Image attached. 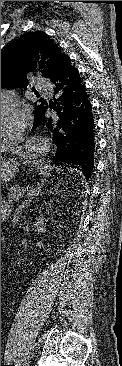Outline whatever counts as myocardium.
I'll return each instance as SVG.
<instances>
[{"instance_id": "1", "label": "myocardium", "mask_w": 122, "mask_h": 366, "mask_svg": "<svg viewBox=\"0 0 122 366\" xmlns=\"http://www.w3.org/2000/svg\"><path fill=\"white\" fill-rule=\"evenodd\" d=\"M22 119L18 108L1 99V146L11 144L12 137L22 131Z\"/></svg>"}]
</instances>
